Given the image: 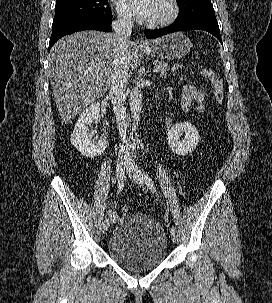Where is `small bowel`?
Segmentation results:
<instances>
[{"mask_svg":"<svg viewBox=\"0 0 272 303\" xmlns=\"http://www.w3.org/2000/svg\"><path fill=\"white\" fill-rule=\"evenodd\" d=\"M181 105L186 111L194 110L198 114L205 112L204 94L194 85H185L181 90Z\"/></svg>","mask_w":272,"mask_h":303,"instance_id":"1","label":"small bowel"}]
</instances>
